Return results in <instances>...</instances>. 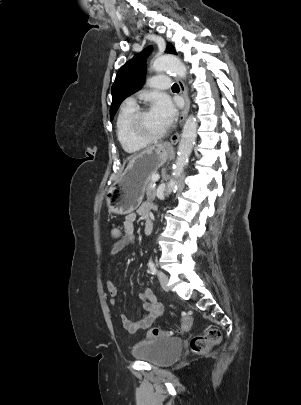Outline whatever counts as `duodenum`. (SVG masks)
I'll use <instances>...</instances> for the list:
<instances>
[{"instance_id":"410a0bca","label":"duodenum","mask_w":301,"mask_h":405,"mask_svg":"<svg viewBox=\"0 0 301 405\" xmlns=\"http://www.w3.org/2000/svg\"><path fill=\"white\" fill-rule=\"evenodd\" d=\"M152 230H153V223H152L151 219H147L145 221L144 233L146 235H149L152 232Z\"/></svg>"}]
</instances>
